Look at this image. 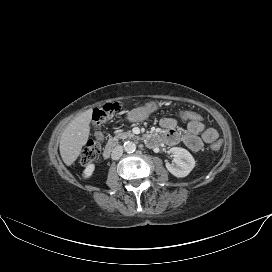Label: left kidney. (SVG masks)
Returning a JSON list of instances; mask_svg holds the SVG:
<instances>
[{
  "instance_id": "obj_1",
  "label": "left kidney",
  "mask_w": 272,
  "mask_h": 272,
  "mask_svg": "<svg viewBox=\"0 0 272 272\" xmlns=\"http://www.w3.org/2000/svg\"><path fill=\"white\" fill-rule=\"evenodd\" d=\"M169 153L174 158L173 163H166V168L175 177H186L195 167V159L186 149L173 147L169 150Z\"/></svg>"
}]
</instances>
